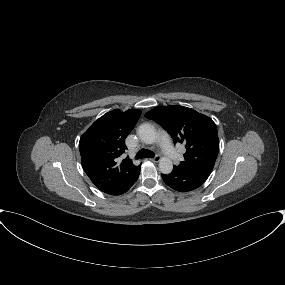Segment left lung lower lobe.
Segmentation results:
<instances>
[{
	"label": "left lung lower lobe",
	"instance_id": "0a47b994",
	"mask_svg": "<svg viewBox=\"0 0 285 285\" xmlns=\"http://www.w3.org/2000/svg\"><path fill=\"white\" fill-rule=\"evenodd\" d=\"M212 170L205 168L183 169L174 166L170 174H162L164 182L179 192H188L200 187L209 177Z\"/></svg>",
	"mask_w": 285,
	"mask_h": 285
}]
</instances>
